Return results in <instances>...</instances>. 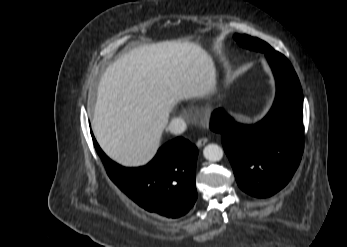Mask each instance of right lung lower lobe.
I'll return each instance as SVG.
<instances>
[{
    "label": "right lung lower lobe",
    "mask_w": 347,
    "mask_h": 247,
    "mask_svg": "<svg viewBox=\"0 0 347 247\" xmlns=\"http://www.w3.org/2000/svg\"><path fill=\"white\" fill-rule=\"evenodd\" d=\"M93 141L110 179L147 211L177 218L194 205L198 150L189 141L182 137L169 141L151 162L139 168H125L113 162L94 137Z\"/></svg>",
    "instance_id": "right-lung-lower-lobe-1"
}]
</instances>
